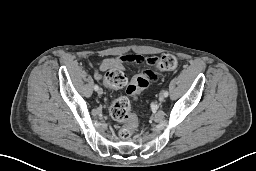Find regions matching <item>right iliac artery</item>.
Instances as JSON below:
<instances>
[{"label":"right iliac artery","instance_id":"right-iliac-artery-1","mask_svg":"<svg viewBox=\"0 0 256 171\" xmlns=\"http://www.w3.org/2000/svg\"><path fill=\"white\" fill-rule=\"evenodd\" d=\"M94 89H95L96 91H98V90H99V86H98V85H95V86H94Z\"/></svg>","mask_w":256,"mask_h":171}]
</instances>
